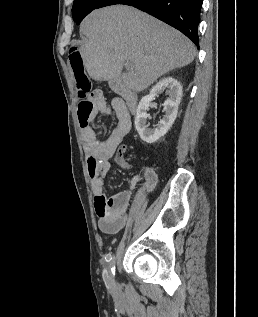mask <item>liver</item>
I'll return each instance as SVG.
<instances>
[{"label": "liver", "mask_w": 258, "mask_h": 317, "mask_svg": "<svg viewBox=\"0 0 258 317\" xmlns=\"http://www.w3.org/2000/svg\"><path fill=\"white\" fill-rule=\"evenodd\" d=\"M83 64L94 80L121 92L144 90L172 68L194 60L196 46L182 32L127 4L92 10L80 24ZM129 60L128 72H122Z\"/></svg>", "instance_id": "6515ba94"}]
</instances>
